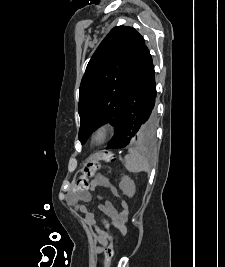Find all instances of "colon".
Masks as SVG:
<instances>
[{
  "label": "colon",
  "mask_w": 225,
  "mask_h": 267,
  "mask_svg": "<svg viewBox=\"0 0 225 267\" xmlns=\"http://www.w3.org/2000/svg\"><path fill=\"white\" fill-rule=\"evenodd\" d=\"M113 160L114 156L111 152H101L87 160L81 170L79 178L76 180L73 186L74 193H82L88 189L89 180L98 170L101 161L112 162ZM103 223L105 226H108V222L106 219L103 220ZM107 236L109 241L104 253V267H110L111 261L114 256L113 236L109 231H107Z\"/></svg>",
  "instance_id": "5ec220e1"
}]
</instances>
